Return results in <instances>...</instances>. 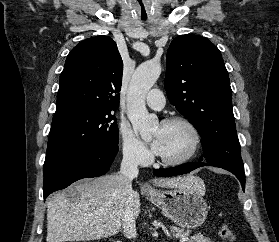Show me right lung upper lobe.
Segmentation results:
<instances>
[{
    "mask_svg": "<svg viewBox=\"0 0 279 242\" xmlns=\"http://www.w3.org/2000/svg\"><path fill=\"white\" fill-rule=\"evenodd\" d=\"M123 61L108 36L85 39L67 56L60 76L56 113L77 109L116 110Z\"/></svg>",
    "mask_w": 279,
    "mask_h": 242,
    "instance_id": "1",
    "label": "right lung upper lobe"
}]
</instances>
